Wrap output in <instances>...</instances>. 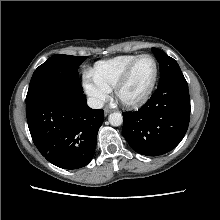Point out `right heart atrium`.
Instances as JSON below:
<instances>
[{
	"label": "right heart atrium",
	"instance_id": "1",
	"mask_svg": "<svg viewBox=\"0 0 220 220\" xmlns=\"http://www.w3.org/2000/svg\"><path fill=\"white\" fill-rule=\"evenodd\" d=\"M83 86L94 106L100 107L109 98L110 89L100 83L89 71H84Z\"/></svg>",
	"mask_w": 220,
	"mask_h": 220
}]
</instances>
